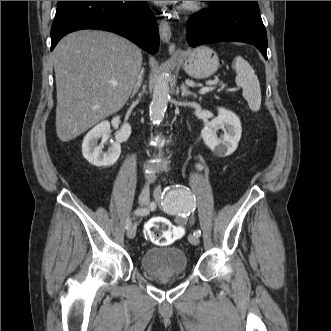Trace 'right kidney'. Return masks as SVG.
Returning <instances> with one entry per match:
<instances>
[{"mask_svg":"<svg viewBox=\"0 0 331 331\" xmlns=\"http://www.w3.org/2000/svg\"><path fill=\"white\" fill-rule=\"evenodd\" d=\"M112 125L118 128V122L112 121ZM110 133V123L102 121L91 129L83 139L82 153L84 158L94 166L109 167L116 163L121 154V143L128 140L131 134V126L125 123L116 133V141L111 143L107 151H103V143L98 144V139Z\"/></svg>","mask_w":331,"mask_h":331,"instance_id":"1","label":"right kidney"}]
</instances>
